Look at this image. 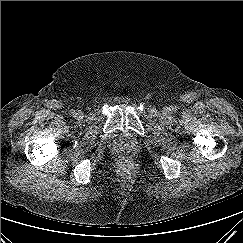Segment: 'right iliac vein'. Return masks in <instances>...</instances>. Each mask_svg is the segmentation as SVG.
<instances>
[{
    "label": "right iliac vein",
    "instance_id": "1",
    "mask_svg": "<svg viewBox=\"0 0 243 243\" xmlns=\"http://www.w3.org/2000/svg\"><path fill=\"white\" fill-rule=\"evenodd\" d=\"M76 117L80 118L83 116V112L82 111H76V114H75Z\"/></svg>",
    "mask_w": 243,
    "mask_h": 243
}]
</instances>
